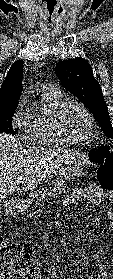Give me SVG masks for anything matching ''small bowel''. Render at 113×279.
Here are the masks:
<instances>
[{
	"label": "small bowel",
	"instance_id": "obj_1",
	"mask_svg": "<svg viewBox=\"0 0 113 279\" xmlns=\"http://www.w3.org/2000/svg\"><path fill=\"white\" fill-rule=\"evenodd\" d=\"M84 196L87 198L88 203L92 205H99L102 202L103 198H107L110 201L111 207L108 212V218L110 219V228L113 231V194H103L95 186L90 185L89 188H77L74 190L72 198ZM113 266V263H112ZM21 275H23V279H41V272L38 268H26L22 272L20 271ZM10 273H1L0 279H19V277H11L9 276ZM111 275L109 273V269L106 265L99 266V279H111ZM45 279H52V278H45Z\"/></svg>",
	"mask_w": 113,
	"mask_h": 279
}]
</instances>
